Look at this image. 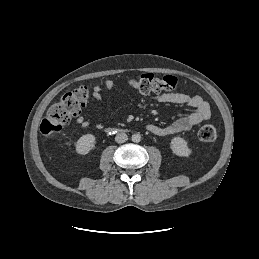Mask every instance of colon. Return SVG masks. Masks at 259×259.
Wrapping results in <instances>:
<instances>
[{
  "label": "colon",
  "mask_w": 259,
  "mask_h": 259,
  "mask_svg": "<svg viewBox=\"0 0 259 259\" xmlns=\"http://www.w3.org/2000/svg\"><path fill=\"white\" fill-rule=\"evenodd\" d=\"M131 86L142 94L174 91L178 87V79L172 75L159 78L153 74H144L133 80ZM90 91L89 85H83L63 95L49 108L46 117L41 122V132L45 135L60 132L72 118L81 113L88 102ZM216 135L215 127L210 124L202 126L198 131L199 139L204 142L215 140Z\"/></svg>",
  "instance_id": "1"
}]
</instances>
